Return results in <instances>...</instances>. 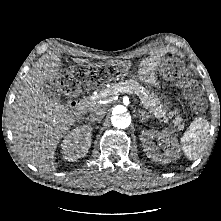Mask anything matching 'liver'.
<instances>
[{
	"label": "liver",
	"instance_id": "obj_1",
	"mask_svg": "<svg viewBox=\"0 0 221 221\" xmlns=\"http://www.w3.org/2000/svg\"><path fill=\"white\" fill-rule=\"evenodd\" d=\"M60 65L59 53L50 51L40 57L22 80L9 116V127L19 155L47 172L56 169L57 145L84 113L49 98L44 92L43 86L57 78Z\"/></svg>",
	"mask_w": 221,
	"mask_h": 221
}]
</instances>
